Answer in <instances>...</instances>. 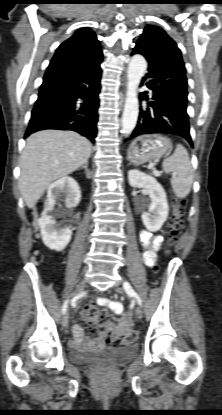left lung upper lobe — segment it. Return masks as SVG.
I'll use <instances>...</instances> for the list:
<instances>
[{
  "label": "left lung upper lobe",
  "mask_w": 222,
  "mask_h": 415,
  "mask_svg": "<svg viewBox=\"0 0 222 415\" xmlns=\"http://www.w3.org/2000/svg\"><path fill=\"white\" fill-rule=\"evenodd\" d=\"M136 44L144 46L153 53L167 54L182 59L176 43L157 26H147Z\"/></svg>",
  "instance_id": "obj_1"
}]
</instances>
